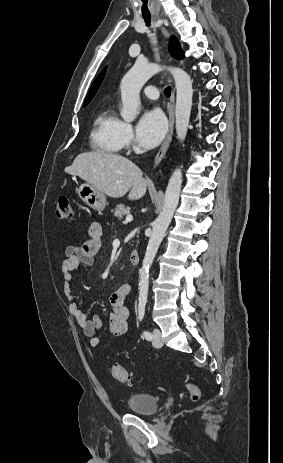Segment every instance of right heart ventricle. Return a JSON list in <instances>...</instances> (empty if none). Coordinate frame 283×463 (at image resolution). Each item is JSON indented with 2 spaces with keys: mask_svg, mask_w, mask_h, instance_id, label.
Returning <instances> with one entry per match:
<instances>
[{
  "mask_svg": "<svg viewBox=\"0 0 283 463\" xmlns=\"http://www.w3.org/2000/svg\"><path fill=\"white\" fill-rule=\"evenodd\" d=\"M122 120L112 107L102 109L96 116L90 135L94 150L104 154H115L122 148L120 129Z\"/></svg>",
  "mask_w": 283,
  "mask_h": 463,
  "instance_id": "1",
  "label": "right heart ventricle"
}]
</instances>
